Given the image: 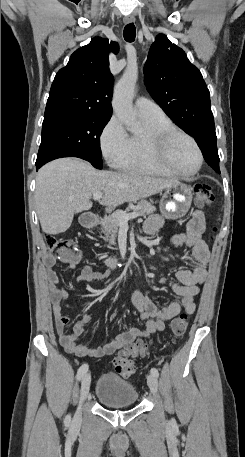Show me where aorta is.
I'll use <instances>...</instances> for the list:
<instances>
[{"label": "aorta", "mask_w": 245, "mask_h": 457, "mask_svg": "<svg viewBox=\"0 0 245 457\" xmlns=\"http://www.w3.org/2000/svg\"><path fill=\"white\" fill-rule=\"evenodd\" d=\"M137 78V69L135 67H127L115 85L112 100V106L117 117L132 132L141 130L132 104Z\"/></svg>", "instance_id": "obj_1"}]
</instances>
